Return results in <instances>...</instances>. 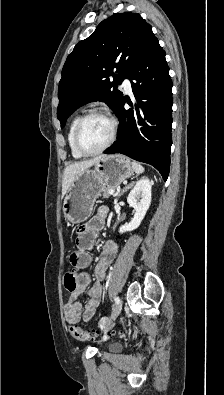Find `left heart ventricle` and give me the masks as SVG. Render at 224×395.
I'll return each mask as SVG.
<instances>
[{"instance_id": "left-heart-ventricle-1", "label": "left heart ventricle", "mask_w": 224, "mask_h": 395, "mask_svg": "<svg viewBox=\"0 0 224 395\" xmlns=\"http://www.w3.org/2000/svg\"><path fill=\"white\" fill-rule=\"evenodd\" d=\"M110 135V122L101 116H92L82 124L80 142L85 150L94 151L102 147Z\"/></svg>"}]
</instances>
